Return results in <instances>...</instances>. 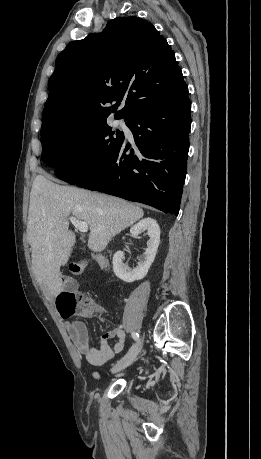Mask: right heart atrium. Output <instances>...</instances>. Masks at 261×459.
<instances>
[{"instance_id": "1", "label": "right heart atrium", "mask_w": 261, "mask_h": 459, "mask_svg": "<svg viewBox=\"0 0 261 459\" xmlns=\"http://www.w3.org/2000/svg\"><path fill=\"white\" fill-rule=\"evenodd\" d=\"M86 144V139L83 136H77L74 140L75 149H80Z\"/></svg>"}]
</instances>
